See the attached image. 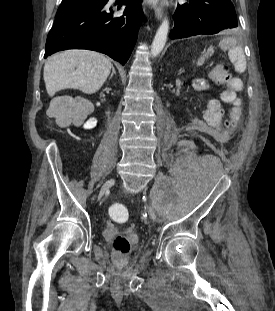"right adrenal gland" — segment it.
I'll return each instance as SVG.
<instances>
[{
    "label": "right adrenal gland",
    "instance_id": "right-adrenal-gland-1",
    "mask_svg": "<svg viewBox=\"0 0 275 311\" xmlns=\"http://www.w3.org/2000/svg\"><path fill=\"white\" fill-rule=\"evenodd\" d=\"M115 74H116V71H115V68H114V66L112 64V73H111L109 79H112L113 75H115Z\"/></svg>",
    "mask_w": 275,
    "mask_h": 311
}]
</instances>
